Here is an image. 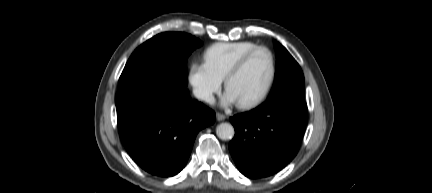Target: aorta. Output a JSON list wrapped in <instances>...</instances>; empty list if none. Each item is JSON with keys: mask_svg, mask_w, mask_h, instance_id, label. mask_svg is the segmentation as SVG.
Wrapping results in <instances>:
<instances>
[{"mask_svg": "<svg viewBox=\"0 0 432 193\" xmlns=\"http://www.w3.org/2000/svg\"><path fill=\"white\" fill-rule=\"evenodd\" d=\"M234 127L230 123H220L216 127V134L222 140H230L234 136Z\"/></svg>", "mask_w": 432, "mask_h": 193, "instance_id": "1", "label": "aorta"}]
</instances>
